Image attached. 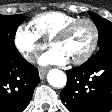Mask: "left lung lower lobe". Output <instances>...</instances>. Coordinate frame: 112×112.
<instances>
[{"mask_svg":"<svg viewBox=\"0 0 112 112\" xmlns=\"http://www.w3.org/2000/svg\"><path fill=\"white\" fill-rule=\"evenodd\" d=\"M60 97L70 112H110L112 109V50L101 52L66 71Z\"/></svg>","mask_w":112,"mask_h":112,"instance_id":"0a47b994","label":"left lung lower lobe"}]
</instances>
